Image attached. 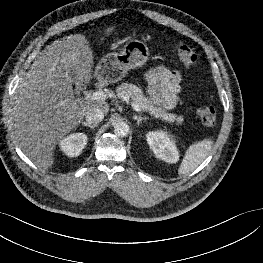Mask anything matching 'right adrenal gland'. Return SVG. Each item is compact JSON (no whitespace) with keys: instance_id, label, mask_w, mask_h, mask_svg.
I'll return each mask as SVG.
<instances>
[{"instance_id":"2a0ac1e0","label":"right adrenal gland","mask_w":263,"mask_h":263,"mask_svg":"<svg viewBox=\"0 0 263 263\" xmlns=\"http://www.w3.org/2000/svg\"><path fill=\"white\" fill-rule=\"evenodd\" d=\"M81 124L83 125V126H85V127H89L90 129H94L97 125H91V124H89V123H86V122H81Z\"/></svg>"}]
</instances>
